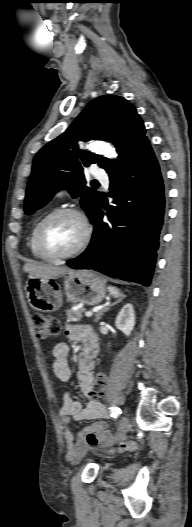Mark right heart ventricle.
Listing matches in <instances>:
<instances>
[{"label":"right heart ventricle","mask_w":192,"mask_h":527,"mask_svg":"<svg viewBox=\"0 0 192 527\" xmlns=\"http://www.w3.org/2000/svg\"><path fill=\"white\" fill-rule=\"evenodd\" d=\"M51 211L50 210H47L45 212H43L42 214H40L37 219L34 221L32 227H31V230H30V233H29V238H28V246H29V250L31 252V255L34 257V258H37V259H43L40 254L38 253L37 251V248H36V244H35V236H36V231H37V228L39 226V224L43 221V219L50 213Z\"/></svg>","instance_id":"right-heart-ventricle-1"}]
</instances>
